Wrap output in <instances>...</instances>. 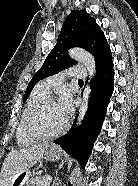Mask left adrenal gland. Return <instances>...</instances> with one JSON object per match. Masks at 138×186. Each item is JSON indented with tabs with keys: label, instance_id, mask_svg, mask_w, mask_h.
Returning <instances> with one entry per match:
<instances>
[{
	"label": "left adrenal gland",
	"instance_id": "obj_1",
	"mask_svg": "<svg viewBox=\"0 0 138 186\" xmlns=\"http://www.w3.org/2000/svg\"><path fill=\"white\" fill-rule=\"evenodd\" d=\"M59 183H60V180H59V179H56V181H55V183H54V184L58 186V185H59Z\"/></svg>",
	"mask_w": 138,
	"mask_h": 186
}]
</instances>
